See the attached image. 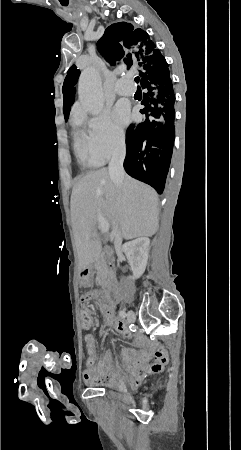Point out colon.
Masks as SVG:
<instances>
[{
	"mask_svg": "<svg viewBox=\"0 0 241 450\" xmlns=\"http://www.w3.org/2000/svg\"><path fill=\"white\" fill-rule=\"evenodd\" d=\"M79 325L85 328L93 327V314L91 313H80L79 314Z\"/></svg>",
	"mask_w": 241,
	"mask_h": 450,
	"instance_id": "5ec220e1",
	"label": "colon"
}]
</instances>
